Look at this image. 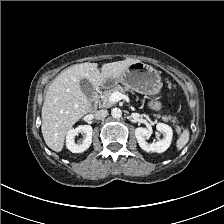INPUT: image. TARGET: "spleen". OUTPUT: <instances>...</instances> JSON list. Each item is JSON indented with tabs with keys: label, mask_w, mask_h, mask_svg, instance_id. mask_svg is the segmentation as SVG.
Wrapping results in <instances>:
<instances>
[{
	"label": "spleen",
	"mask_w": 224,
	"mask_h": 224,
	"mask_svg": "<svg viewBox=\"0 0 224 224\" xmlns=\"http://www.w3.org/2000/svg\"><path fill=\"white\" fill-rule=\"evenodd\" d=\"M189 141V131L188 129H184L183 132L180 134L176 146L178 150H181Z\"/></svg>",
	"instance_id": "3e777b00"
}]
</instances>
